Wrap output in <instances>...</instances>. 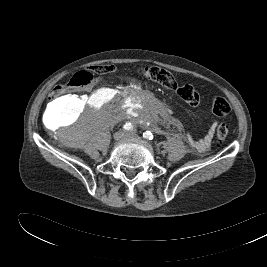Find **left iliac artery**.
Returning <instances> with one entry per match:
<instances>
[{"instance_id": "left-iliac-artery-1", "label": "left iliac artery", "mask_w": 267, "mask_h": 267, "mask_svg": "<svg viewBox=\"0 0 267 267\" xmlns=\"http://www.w3.org/2000/svg\"><path fill=\"white\" fill-rule=\"evenodd\" d=\"M143 137L147 140H152L153 139V134L150 131H146L143 133Z\"/></svg>"}]
</instances>
